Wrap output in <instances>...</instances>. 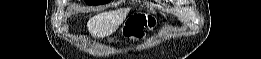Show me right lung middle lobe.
Returning a JSON list of instances; mask_svg holds the SVG:
<instances>
[{
    "label": "right lung middle lobe",
    "instance_id": "dd1d6c3e",
    "mask_svg": "<svg viewBox=\"0 0 261 59\" xmlns=\"http://www.w3.org/2000/svg\"><path fill=\"white\" fill-rule=\"evenodd\" d=\"M85 2L88 5H100V4H106L109 1H107V0H85Z\"/></svg>",
    "mask_w": 261,
    "mask_h": 59
}]
</instances>
